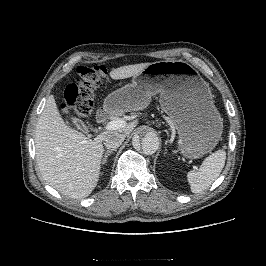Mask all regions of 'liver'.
Returning <instances> with one entry per match:
<instances>
[{
    "mask_svg": "<svg viewBox=\"0 0 266 266\" xmlns=\"http://www.w3.org/2000/svg\"><path fill=\"white\" fill-rule=\"evenodd\" d=\"M150 63H140L113 69L110 77L115 80L130 78L141 73ZM137 121L124 128L108 130L94 140L68 127L62 119L53 95L47 98L35 130V149L38 169L44 180L62 195L84 199L97 185L103 139L112 132L129 135Z\"/></svg>",
    "mask_w": 266,
    "mask_h": 266,
    "instance_id": "obj_1",
    "label": "liver"
}]
</instances>
